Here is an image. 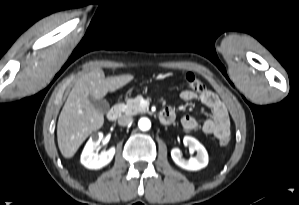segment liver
I'll use <instances>...</instances> for the list:
<instances>
[{"mask_svg":"<svg viewBox=\"0 0 299 205\" xmlns=\"http://www.w3.org/2000/svg\"><path fill=\"white\" fill-rule=\"evenodd\" d=\"M134 79L131 74L105 77L102 69L84 73L75 83L59 115L57 140L61 154L71 158L81 144L104 123L103 113L94 108L89 96L100 100Z\"/></svg>","mask_w":299,"mask_h":205,"instance_id":"liver-1","label":"liver"}]
</instances>
